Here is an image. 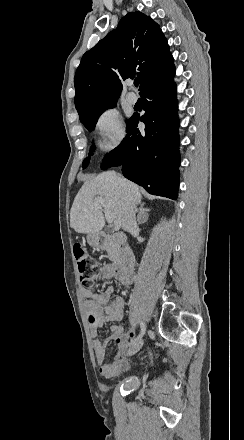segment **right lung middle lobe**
<instances>
[{
	"label": "right lung middle lobe",
	"instance_id": "obj_1",
	"mask_svg": "<svg viewBox=\"0 0 244 440\" xmlns=\"http://www.w3.org/2000/svg\"><path fill=\"white\" fill-rule=\"evenodd\" d=\"M117 99H112V100H108L102 104H100L97 107L94 108H90V109H86V110H77L79 117H80V121L84 124V126L91 131L95 124L97 123V120L99 118V116L101 115V113L108 108H113L114 105L116 104ZM95 146L93 145L92 148H94ZM90 161V157L85 158L84 162H83V168L87 167L88 163Z\"/></svg>",
	"mask_w": 244,
	"mask_h": 440
}]
</instances>
